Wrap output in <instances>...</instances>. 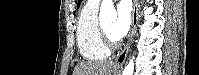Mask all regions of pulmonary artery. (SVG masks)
I'll return each mask as SVG.
<instances>
[{
    "instance_id": "obj_1",
    "label": "pulmonary artery",
    "mask_w": 199,
    "mask_h": 75,
    "mask_svg": "<svg viewBox=\"0 0 199 75\" xmlns=\"http://www.w3.org/2000/svg\"><path fill=\"white\" fill-rule=\"evenodd\" d=\"M99 3H100V1H98V0L88 1V4L90 6H98Z\"/></svg>"
}]
</instances>
